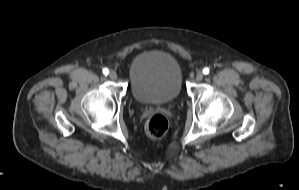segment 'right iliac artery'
Returning a JSON list of instances; mask_svg holds the SVG:
<instances>
[{"instance_id": "right-iliac-artery-1", "label": "right iliac artery", "mask_w": 299, "mask_h": 190, "mask_svg": "<svg viewBox=\"0 0 299 190\" xmlns=\"http://www.w3.org/2000/svg\"><path fill=\"white\" fill-rule=\"evenodd\" d=\"M103 74H104V75H108V74H109V70H108V68H104V69H103Z\"/></svg>"}]
</instances>
